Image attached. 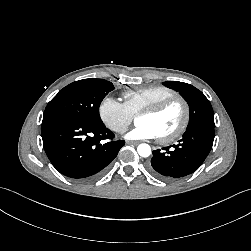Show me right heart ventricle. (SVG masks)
<instances>
[{"instance_id": "e07e8e85", "label": "right heart ventricle", "mask_w": 251, "mask_h": 251, "mask_svg": "<svg viewBox=\"0 0 251 251\" xmlns=\"http://www.w3.org/2000/svg\"><path fill=\"white\" fill-rule=\"evenodd\" d=\"M174 95H176V92L167 86L153 85L127 91L123 94V98L128 110L133 115H137L143 109Z\"/></svg>"}]
</instances>
